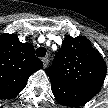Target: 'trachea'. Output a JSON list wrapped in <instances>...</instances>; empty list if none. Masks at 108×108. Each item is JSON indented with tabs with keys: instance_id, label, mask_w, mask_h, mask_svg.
Wrapping results in <instances>:
<instances>
[{
	"instance_id": "1",
	"label": "trachea",
	"mask_w": 108,
	"mask_h": 108,
	"mask_svg": "<svg viewBox=\"0 0 108 108\" xmlns=\"http://www.w3.org/2000/svg\"><path fill=\"white\" fill-rule=\"evenodd\" d=\"M36 55L38 57H44L46 55V49L44 47L37 48Z\"/></svg>"
}]
</instances>
